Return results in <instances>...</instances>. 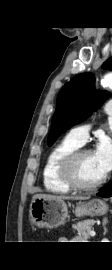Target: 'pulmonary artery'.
Returning <instances> with one entry per match:
<instances>
[{"label": "pulmonary artery", "instance_id": "obj_1", "mask_svg": "<svg viewBox=\"0 0 112 270\" xmlns=\"http://www.w3.org/2000/svg\"><path fill=\"white\" fill-rule=\"evenodd\" d=\"M105 113L108 117H112V102H109L105 107ZM89 131L90 126H79L71 129L68 135L80 145H83L88 139Z\"/></svg>", "mask_w": 112, "mask_h": 270}]
</instances>
